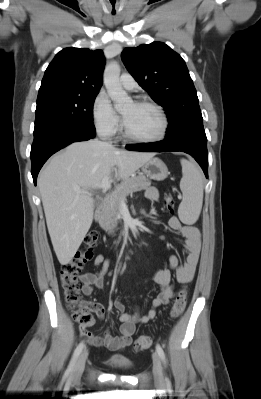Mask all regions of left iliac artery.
<instances>
[{"label": "left iliac artery", "instance_id": "obj_1", "mask_svg": "<svg viewBox=\"0 0 261 399\" xmlns=\"http://www.w3.org/2000/svg\"><path fill=\"white\" fill-rule=\"evenodd\" d=\"M156 351L158 355L160 356L161 360L164 362L165 361V353L160 345H156Z\"/></svg>", "mask_w": 261, "mask_h": 399}]
</instances>
